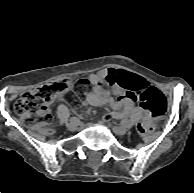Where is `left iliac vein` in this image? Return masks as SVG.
<instances>
[{
	"label": "left iliac vein",
	"instance_id": "1",
	"mask_svg": "<svg viewBox=\"0 0 194 193\" xmlns=\"http://www.w3.org/2000/svg\"><path fill=\"white\" fill-rule=\"evenodd\" d=\"M113 130L117 135L121 136L127 133V128L124 126H115Z\"/></svg>",
	"mask_w": 194,
	"mask_h": 193
}]
</instances>
